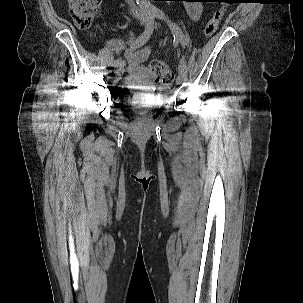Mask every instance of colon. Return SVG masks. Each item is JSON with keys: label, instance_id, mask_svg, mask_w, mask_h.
I'll list each match as a JSON object with an SVG mask.
<instances>
[{"label": "colon", "instance_id": "1", "mask_svg": "<svg viewBox=\"0 0 303 303\" xmlns=\"http://www.w3.org/2000/svg\"><path fill=\"white\" fill-rule=\"evenodd\" d=\"M101 0H68V6L73 15L76 25L79 28L86 29L92 25L93 19L99 12ZM220 2H225L220 0ZM224 3L213 13L206 22L204 33L206 36L213 35L220 23L224 12ZM150 70L155 76V81L159 86H168L173 82L174 74L170 68L160 60H153L150 63Z\"/></svg>", "mask_w": 303, "mask_h": 303}]
</instances>
